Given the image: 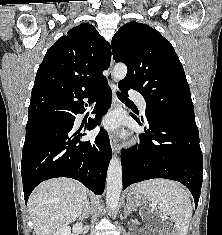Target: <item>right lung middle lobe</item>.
<instances>
[{
    "instance_id": "right-lung-middle-lobe-1",
    "label": "right lung middle lobe",
    "mask_w": 222,
    "mask_h": 235,
    "mask_svg": "<svg viewBox=\"0 0 222 235\" xmlns=\"http://www.w3.org/2000/svg\"><path fill=\"white\" fill-rule=\"evenodd\" d=\"M60 123L61 122L56 121L53 118L28 121L26 124V135L31 134L37 130L42 129V128L52 126V125H57Z\"/></svg>"
}]
</instances>
